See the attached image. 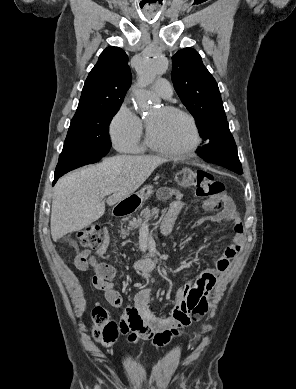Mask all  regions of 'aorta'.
Here are the masks:
<instances>
[{"instance_id": "obj_1", "label": "aorta", "mask_w": 296, "mask_h": 389, "mask_svg": "<svg viewBox=\"0 0 296 389\" xmlns=\"http://www.w3.org/2000/svg\"><path fill=\"white\" fill-rule=\"evenodd\" d=\"M169 65L168 58L161 52L150 53L138 69V82L134 90V100L138 110H147L153 102L152 95L148 87L163 75Z\"/></svg>"}]
</instances>
